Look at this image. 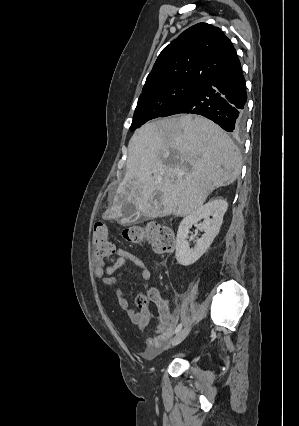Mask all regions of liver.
I'll list each match as a JSON object with an SVG mask.
<instances>
[{"mask_svg":"<svg viewBox=\"0 0 299 426\" xmlns=\"http://www.w3.org/2000/svg\"><path fill=\"white\" fill-rule=\"evenodd\" d=\"M240 168L237 146L209 119L183 114L152 121L131 137L126 174L103 218L119 219L129 203L148 219L187 216L214 189L232 184Z\"/></svg>","mask_w":299,"mask_h":426,"instance_id":"1","label":"liver"}]
</instances>
